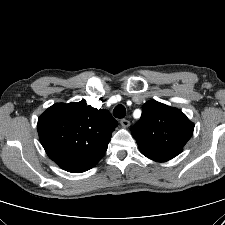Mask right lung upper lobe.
<instances>
[{"label":"right lung upper lobe","mask_w":225,"mask_h":225,"mask_svg":"<svg viewBox=\"0 0 225 225\" xmlns=\"http://www.w3.org/2000/svg\"><path fill=\"white\" fill-rule=\"evenodd\" d=\"M117 125L109 111L80 101L52 105L37 129L47 155L62 169L81 173L99 162Z\"/></svg>","instance_id":"cb5924a9"}]
</instances>
